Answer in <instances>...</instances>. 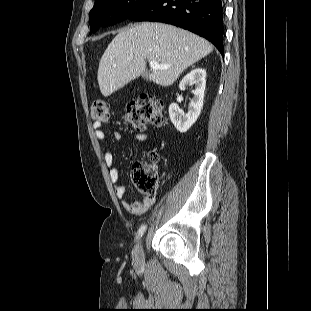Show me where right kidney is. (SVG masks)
I'll use <instances>...</instances> for the list:
<instances>
[{
    "label": "right kidney",
    "mask_w": 311,
    "mask_h": 311,
    "mask_svg": "<svg viewBox=\"0 0 311 311\" xmlns=\"http://www.w3.org/2000/svg\"><path fill=\"white\" fill-rule=\"evenodd\" d=\"M206 71L196 68L188 73L180 82V90H185L188 85H195L194 97L189 104V111L184 114L176 103L169 107V116L175 128L185 133L198 119L203 107L204 91L206 85Z\"/></svg>",
    "instance_id": "1"
}]
</instances>
